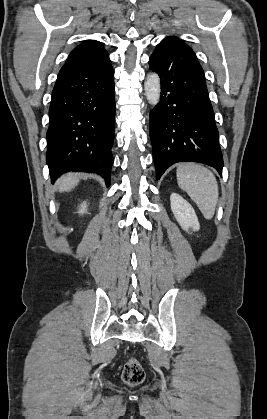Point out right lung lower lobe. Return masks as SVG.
<instances>
[{
    "label": "right lung lower lobe",
    "mask_w": 267,
    "mask_h": 419,
    "mask_svg": "<svg viewBox=\"0 0 267 419\" xmlns=\"http://www.w3.org/2000/svg\"><path fill=\"white\" fill-rule=\"evenodd\" d=\"M46 161L54 182L68 171L97 173L110 185L115 126L114 71L64 65L52 91Z\"/></svg>",
    "instance_id": "1"
}]
</instances>
